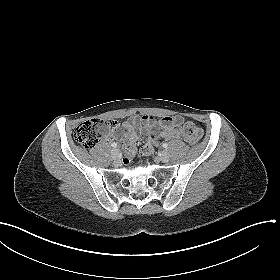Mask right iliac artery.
<instances>
[{
	"mask_svg": "<svg viewBox=\"0 0 280 280\" xmlns=\"http://www.w3.org/2000/svg\"><path fill=\"white\" fill-rule=\"evenodd\" d=\"M111 146H112L113 148H116V147H117V143L114 142V143L111 144Z\"/></svg>",
	"mask_w": 280,
	"mask_h": 280,
	"instance_id": "1",
	"label": "right iliac artery"
}]
</instances>
